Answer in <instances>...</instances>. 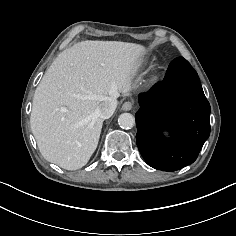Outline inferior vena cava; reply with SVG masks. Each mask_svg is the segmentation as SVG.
I'll return each mask as SVG.
<instances>
[{
	"label": "inferior vena cava",
	"mask_w": 236,
	"mask_h": 236,
	"mask_svg": "<svg viewBox=\"0 0 236 236\" xmlns=\"http://www.w3.org/2000/svg\"><path fill=\"white\" fill-rule=\"evenodd\" d=\"M117 107L116 98H109L107 101L102 103V106L99 108L98 115L102 119L110 118Z\"/></svg>",
	"instance_id": "inferior-vena-cava-1"
}]
</instances>
